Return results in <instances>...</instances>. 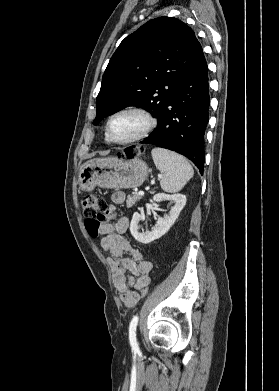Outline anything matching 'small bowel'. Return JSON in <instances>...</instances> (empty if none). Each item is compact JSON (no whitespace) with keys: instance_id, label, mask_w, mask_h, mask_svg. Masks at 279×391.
<instances>
[{"instance_id":"small-bowel-1","label":"small bowel","mask_w":279,"mask_h":391,"mask_svg":"<svg viewBox=\"0 0 279 391\" xmlns=\"http://www.w3.org/2000/svg\"><path fill=\"white\" fill-rule=\"evenodd\" d=\"M124 198L123 192L111 195L107 221L101 224L98 236L101 237V248L115 257L108 259V263L120 299L127 307H133L141 300L140 291L150 283L149 275L153 265L151 261L144 259L138 250L133 249L123 236L129 225L128 217H121L114 224L110 222L114 217L116 205L121 204ZM124 253H130L132 258L123 257ZM127 271L131 276L127 275Z\"/></svg>"}]
</instances>
